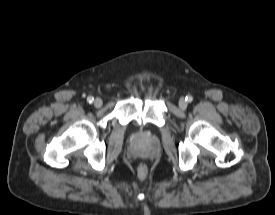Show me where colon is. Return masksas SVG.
Here are the masks:
<instances>
[{
	"label": "colon",
	"mask_w": 275,
	"mask_h": 215,
	"mask_svg": "<svg viewBox=\"0 0 275 215\" xmlns=\"http://www.w3.org/2000/svg\"><path fill=\"white\" fill-rule=\"evenodd\" d=\"M148 174V168L146 165L144 164H140L138 167H137V175L139 178H144L146 177Z\"/></svg>",
	"instance_id": "1"
}]
</instances>
